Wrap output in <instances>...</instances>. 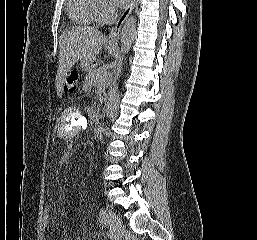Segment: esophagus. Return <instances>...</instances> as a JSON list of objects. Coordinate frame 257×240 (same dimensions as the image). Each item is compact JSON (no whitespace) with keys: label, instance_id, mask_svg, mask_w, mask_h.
<instances>
[{"label":"esophagus","instance_id":"34e87169","mask_svg":"<svg viewBox=\"0 0 257 240\" xmlns=\"http://www.w3.org/2000/svg\"><path fill=\"white\" fill-rule=\"evenodd\" d=\"M136 3H137V0H130L129 5L122 12V14L119 16V18L115 22V25L111 28V31H110V33L107 37V43L115 44V43L118 42L122 25L125 22V20L128 18V16L131 14V12L134 9Z\"/></svg>","mask_w":257,"mask_h":240}]
</instances>
